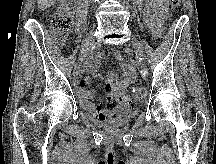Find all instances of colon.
<instances>
[{
  "mask_svg": "<svg viewBox=\"0 0 216 164\" xmlns=\"http://www.w3.org/2000/svg\"><path fill=\"white\" fill-rule=\"evenodd\" d=\"M173 13H176L181 5V0H170ZM76 7L75 0H60L57 4L55 13L51 19V26L55 40L62 44L65 36L71 28L73 13ZM146 97L144 87H136L131 93H118L116 99L119 103L125 105H134L142 102Z\"/></svg>",
  "mask_w": 216,
  "mask_h": 164,
  "instance_id": "obj_1",
  "label": "colon"
}]
</instances>
